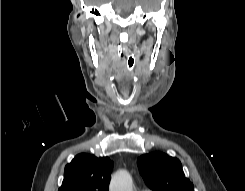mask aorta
Masks as SVG:
<instances>
[{"instance_id": "aorta-1", "label": "aorta", "mask_w": 245, "mask_h": 191, "mask_svg": "<svg viewBox=\"0 0 245 191\" xmlns=\"http://www.w3.org/2000/svg\"><path fill=\"white\" fill-rule=\"evenodd\" d=\"M109 191H133L130 174L126 170L117 171L111 179Z\"/></svg>"}]
</instances>
